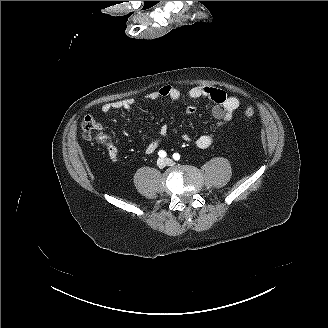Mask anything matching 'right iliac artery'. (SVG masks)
Returning <instances> with one entry per match:
<instances>
[{
  "mask_svg": "<svg viewBox=\"0 0 328 328\" xmlns=\"http://www.w3.org/2000/svg\"><path fill=\"white\" fill-rule=\"evenodd\" d=\"M158 155H159L160 157L164 158V157H166L167 154H166L165 151L161 150V151H159Z\"/></svg>",
  "mask_w": 328,
  "mask_h": 328,
  "instance_id": "1",
  "label": "right iliac artery"
}]
</instances>
